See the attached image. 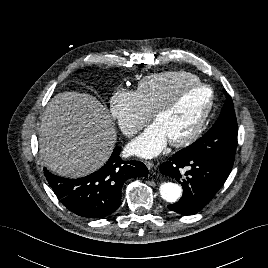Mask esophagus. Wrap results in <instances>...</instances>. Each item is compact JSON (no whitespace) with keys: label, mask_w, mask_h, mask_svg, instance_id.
Returning <instances> with one entry per match:
<instances>
[{"label":"esophagus","mask_w":268,"mask_h":268,"mask_svg":"<svg viewBox=\"0 0 268 268\" xmlns=\"http://www.w3.org/2000/svg\"><path fill=\"white\" fill-rule=\"evenodd\" d=\"M146 167L149 169V170H152L154 167H155V164L154 162L150 161V160H147L144 162Z\"/></svg>","instance_id":"obj_1"}]
</instances>
